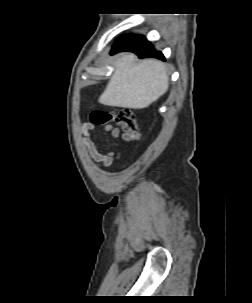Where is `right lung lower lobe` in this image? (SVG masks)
Here are the masks:
<instances>
[{"mask_svg": "<svg viewBox=\"0 0 252 303\" xmlns=\"http://www.w3.org/2000/svg\"><path fill=\"white\" fill-rule=\"evenodd\" d=\"M121 51L134 52L139 56V58L153 57L161 60L165 59L163 54L156 51L151 43L141 35L129 34L118 39L113 45L111 54Z\"/></svg>", "mask_w": 252, "mask_h": 303, "instance_id": "98d812e1", "label": "right lung lower lobe"}]
</instances>
